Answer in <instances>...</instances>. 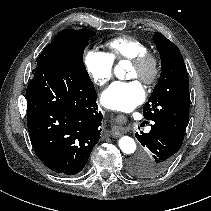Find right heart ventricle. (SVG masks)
I'll return each mask as SVG.
<instances>
[{
	"mask_svg": "<svg viewBox=\"0 0 211 211\" xmlns=\"http://www.w3.org/2000/svg\"><path fill=\"white\" fill-rule=\"evenodd\" d=\"M108 56L113 62L131 60L147 51V46L131 36H120L106 42Z\"/></svg>",
	"mask_w": 211,
	"mask_h": 211,
	"instance_id": "obj_1",
	"label": "right heart ventricle"
}]
</instances>
